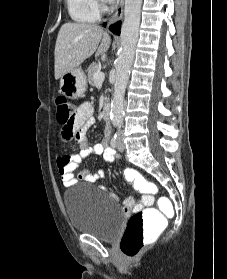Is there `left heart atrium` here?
Segmentation results:
<instances>
[{"label": "left heart atrium", "instance_id": "left-heart-atrium-1", "mask_svg": "<svg viewBox=\"0 0 227 279\" xmlns=\"http://www.w3.org/2000/svg\"><path fill=\"white\" fill-rule=\"evenodd\" d=\"M104 1H106V2H108V3H112V2H114L115 0H104Z\"/></svg>", "mask_w": 227, "mask_h": 279}]
</instances>
